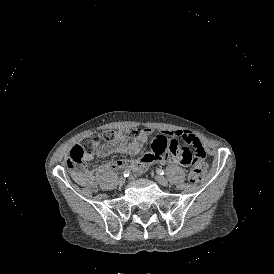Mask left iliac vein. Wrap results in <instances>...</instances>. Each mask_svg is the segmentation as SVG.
Returning <instances> with one entry per match:
<instances>
[{
	"label": "left iliac vein",
	"instance_id": "obj_1",
	"mask_svg": "<svg viewBox=\"0 0 274 274\" xmlns=\"http://www.w3.org/2000/svg\"><path fill=\"white\" fill-rule=\"evenodd\" d=\"M155 179L158 181V183H160L163 186L168 185V180L164 176L158 175L155 177Z\"/></svg>",
	"mask_w": 274,
	"mask_h": 274
}]
</instances>
